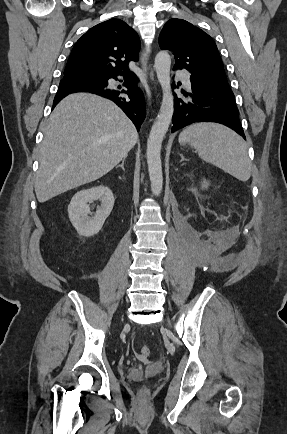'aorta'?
Here are the masks:
<instances>
[{"label":"aorta","instance_id":"obj_1","mask_svg":"<svg viewBox=\"0 0 287 434\" xmlns=\"http://www.w3.org/2000/svg\"><path fill=\"white\" fill-rule=\"evenodd\" d=\"M154 67L162 88L163 98L160 111L147 141V164L151 191L153 195L159 196L163 187L161 146L174 112V98L170 78L171 57L167 51H160L156 55Z\"/></svg>","mask_w":287,"mask_h":434}]
</instances>
